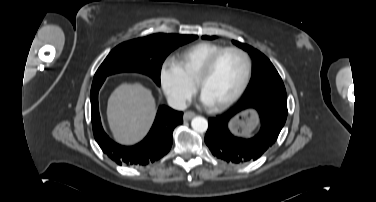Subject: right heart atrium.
<instances>
[{
  "label": "right heart atrium",
  "mask_w": 376,
  "mask_h": 202,
  "mask_svg": "<svg viewBox=\"0 0 376 202\" xmlns=\"http://www.w3.org/2000/svg\"><path fill=\"white\" fill-rule=\"evenodd\" d=\"M159 83L167 100L178 109L184 108L195 93L194 83L184 76L179 66L170 58L160 65Z\"/></svg>",
  "instance_id": "obj_1"
}]
</instances>
